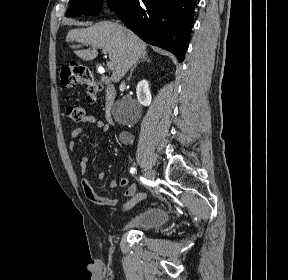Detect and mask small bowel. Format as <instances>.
<instances>
[{"instance_id":"1","label":"small bowel","mask_w":288,"mask_h":280,"mask_svg":"<svg viewBox=\"0 0 288 280\" xmlns=\"http://www.w3.org/2000/svg\"><path fill=\"white\" fill-rule=\"evenodd\" d=\"M83 123L94 125L96 128L101 129L103 132H107L109 129V126L105 122L91 115L86 116L83 119ZM85 129H86V126L75 128L70 132V136L74 139L78 137L79 135H81L85 131ZM69 149L71 151H74L76 149V143L74 141L70 142ZM88 161L89 159L87 156L80 155L79 163H80V172H81V180H80L81 189H82L84 196L90 202H92L95 205L102 206V207H115L120 202L125 200V203L122 208L124 211L130 209L137 203L135 201L130 207H127L128 203L134 201L136 197L138 196L137 186L135 183L129 184L127 178L121 175L115 176L109 184L110 190H114L117 187L124 189V193L121 198L111 197L108 194L104 193L103 191L96 190L91 185L89 180L84 176L86 169H87ZM105 177H106V174L104 172H99L97 175V179L99 181L104 180Z\"/></svg>"}]
</instances>
